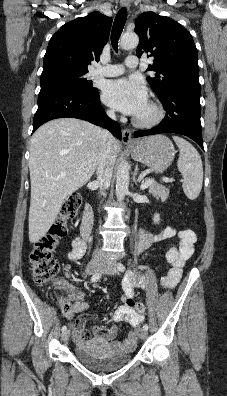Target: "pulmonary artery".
<instances>
[{"label":"pulmonary artery","mask_w":227,"mask_h":396,"mask_svg":"<svg viewBox=\"0 0 227 396\" xmlns=\"http://www.w3.org/2000/svg\"><path fill=\"white\" fill-rule=\"evenodd\" d=\"M139 64V60L136 56H128L125 61V66L128 68H135ZM125 70L124 65L115 64V65H107L100 66L94 70V75L100 77H114L121 75Z\"/></svg>","instance_id":"obj_1"}]
</instances>
